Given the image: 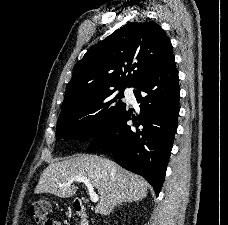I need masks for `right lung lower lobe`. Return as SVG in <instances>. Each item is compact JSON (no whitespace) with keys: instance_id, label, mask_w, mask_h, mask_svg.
Here are the masks:
<instances>
[{"instance_id":"98d812e1","label":"right lung lower lobe","mask_w":228,"mask_h":225,"mask_svg":"<svg viewBox=\"0 0 228 225\" xmlns=\"http://www.w3.org/2000/svg\"><path fill=\"white\" fill-rule=\"evenodd\" d=\"M134 90L140 112L126 107L91 139L87 152L113 154L123 168L143 176L156 195L165 179L179 114L180 89L174 55ZM132 120L133 125H127Z\"/></svg>"}]
</instances>
